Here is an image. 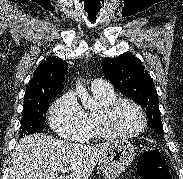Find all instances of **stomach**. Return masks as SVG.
Instances as JSON below:
<instances>
[{"label":"stomach","instance_id":"0dacf381","mask_svg":"<svg viewBox=\"0 0 183 179\" xmlns=\"http://www.w3.org/2000/svg\"><path fill=\"white\" fill-rule=\"evenodd\" d=\"M136 148L129 141L113 142L103 153L99 166L108 179H116L135 158Z\"/></svg>","mask_w":183,"mask_h":179}]
</instances>
